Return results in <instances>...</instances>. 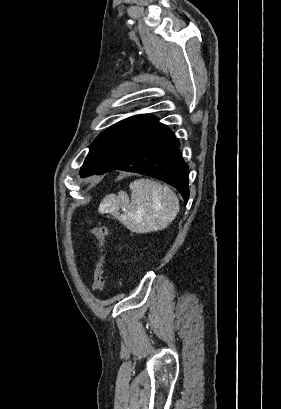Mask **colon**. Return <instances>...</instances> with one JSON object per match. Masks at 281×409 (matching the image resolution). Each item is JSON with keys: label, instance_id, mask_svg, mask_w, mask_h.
I'll return each mask as SVG.
<instances>
[{"label": "colon", "instance_id": "colon-1", "mask_svg": "<svg viewBox=\"0 0 281 409\" xmlns=\"http://www.w3.org/2000/svg\"><path fill=\"white\" fill-rule=\"evenodd\" d=\"M93 234L96 236L98 241V247L102 252L108 236V229L103 224H98L92 228ZM105 284V263L104 258L101 255L98 259L95 269V280H94V287L96 294L100 295L104 289Z\"/></svg>", "mask_w": 281, "mask_h": 409}]
</instances>
